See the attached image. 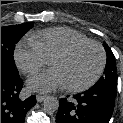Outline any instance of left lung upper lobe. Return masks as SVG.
I'll list each match as a JSON object with an SVG mask.
<instances>
[{"label":"left lung upper lobe","mask_w":123,"mask_h":123,"mask_svg":"<svg viewBox=\"0 0 123 123\" xmlns=\"http://www.w3.org/2000/svg\"><path fill=\"white\" fill-rule=\"evenodd\" d=\"M104 48L107 53V63L104 71V76H102L98 82L93 86L95 88H109L116 90V68H115V57L109 46L104 43Z\"/></svg>","instance_id":"obj_1"}]
</instances>
